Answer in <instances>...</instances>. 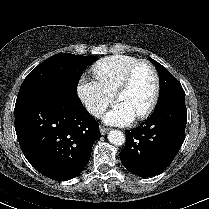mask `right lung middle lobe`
Wrapping results in <instances>:
<instances>
[{"mask_svg":"<svg viewBox=\"0 0 209 209\" xmlns=\"http://www.w3.org/2000/svg\"><path fill=\"white\" fill-rule=\"evenodd\" d=\"M93 60L92 56H77L70 53H60L49 57L27 75L16 101L47 86L64 87L77 94L79 78Z\"/></svg>","mask_w":209,"mask_h":209,"instance_id":"dd1d6c3e","label":"right lung middle lobe"}]
</instances>
